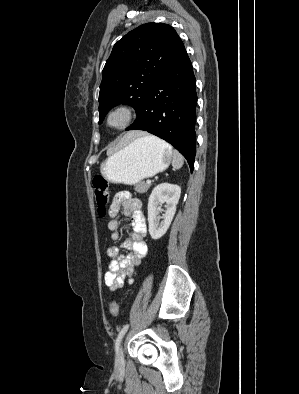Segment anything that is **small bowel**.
Instances as JSON below:
<instances>
[{"label":"small bowel","instance_id":"small-bowel-1","mask_svg":"<svg viewBox=\"0 0 299 394\" xmlns=\"http://www.w3.org/2000/svg\"><path fill=\"white\" fill-rule=\"evenodd\" d=\"M121 214L131 219V235L122 243V247L128 250L126 256L120 255V248L116 245L109 246L106 251L112 260L105 274V283L113 290L121 288L126 278L131 279L135 267L141 263L147 253L146 223L142 203L128 191L117 193L109 208L108 229L111 231L110 239L113 241L120 238Z\"/></svg>","mask_w":299,"mask_h":394}]
</instances>
